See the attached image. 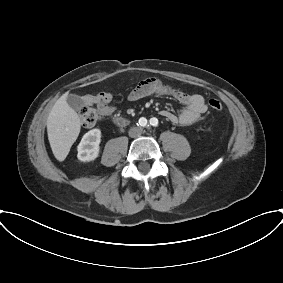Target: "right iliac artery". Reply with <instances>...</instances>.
<instances>
[{
	"label": "right iliac artery",
	"mask_w": 283,
	"mask_h": 283,
	"mask_svg": "<svg viewBox=\"0 0 283 283\" xmlns=\"http://www.w3.org/2000/svg\"><path fill=\"white\" fill-rule=\"evenodd\" d=\"M139 124L141 125V126H146V124H147V120H146V118H140V120H139Z\"/></svg>",
	"instance_id": "obj_1"
}]
</instances>
